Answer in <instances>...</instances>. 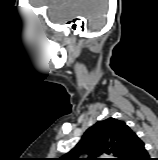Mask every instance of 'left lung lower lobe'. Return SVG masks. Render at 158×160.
<instances>
[{"instance_id":"obj_1","label":"left lung lower lobe","mask_w":158,"mask_h":160,"mask_svg":"<svg viewBox=\"0 0 158 160\" xmlns=\"http://www.w3.org/2000/svg\"><path fill=\"white\" fill-rule=\"evenodd\" d=\"M124 160H151L144 147L143 141L134 134Z\"/></svg>"}]
</instances>
